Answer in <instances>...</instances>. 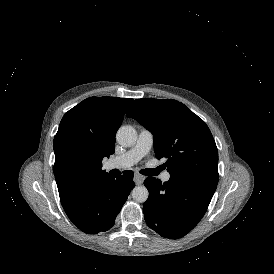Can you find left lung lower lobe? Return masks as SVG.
<instances>
[{
  "label": "left lung lower lobe",
  "mask_w": 274,
  "mask_h": 274,
  "mask_svg": "<svg viewBox=\"0 0 274 274\" xmlns=\"http://www.w3.org/2000/svg\"><path fill=\"white\" fill-rule=\"evenodd\" d=\"M144 185L149 197L144 203L147 225L163 237L176 239L186 235L205 214L216 186L170 177L162 184L147 177Z\"/></svg>",
  "instance_id": "obj_1"
}]
</instances>
